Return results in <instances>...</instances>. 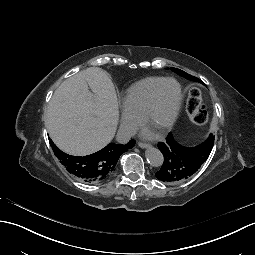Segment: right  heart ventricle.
Listing matches in <instances>:
<instances>
[{"label":"right heart ventricle","mask_w":255,"mask_h":255,"mask_svg":"<svg viewBox=\"0 0 255 255\" xmlns=\"http://www.w3.org/2000/svg\"><path fill=\"white\" fill-rule=\"evenodd\" d=\"M163 80L160 77H149L132 84L121 97L123 110L139 119L146 110L153 91Z\"/></svg>","instance_id":"e07e8e85"}]
</instances>
